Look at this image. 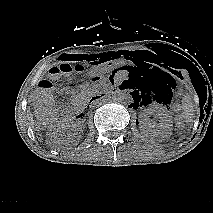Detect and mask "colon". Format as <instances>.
Wrapping results in <instances>:
<instances>
[{
  "label": "colon",
  "mask_w": 213,
  "mask_h": 213,
  "mask_svg": "<svg viewBox=\"0 0 213 213\" xmlns=\"http://www.w3.org/2000/svg\"><path fill=\"white\" fill-rule=\"evenodd\" d=\"M85 70L84 65L81 63H76L72 65L71 63H62L59 66H55L50 69V77L52 79H57L60 76H70L73 73H82ZM37 112L40 115H48L54 112V97L52 95L53 85L49 80H42L39 85ZM137 105L143 106L146 104L144 97H136Z\"/></svg>",
  "instance_id": "5ec220e1"
}]
</instances>
